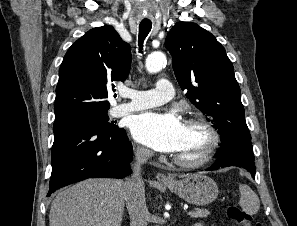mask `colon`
Returning a JSON list of instances; mask_svg holds the SVG:
<instances>
[{
	"label": "colon",
	"instance_id": "colon-1",
	"mask_svg": "<svg viewBox=\"0 0 297 226\" xmlns=\"http://www.w3.org/2000/svg\"><path fill=\"white\" fill-rule=\"evenodd\" d=\"M228 217L241 226H253L251 215L240 209L238 206L231 205L227 209Z\"/></svg>",
	"mask_w": 297,
	"mask_h": 226
}]
</instances>
